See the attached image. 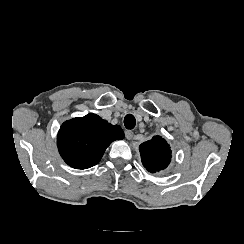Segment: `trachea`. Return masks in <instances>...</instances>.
I'll return each instance as SVG.
<instances>
[{
    "label": "trachea",
    "mask_w": 244,
    "mask_h": 244,
    "mask_svg": "<svg viewBox=\"0 0 244 244\" xmlns=\"http://www.w3.org/2000/svg\"><path fill=\"white\" fill-rule=\"evenodd\" d=\"M135 124H136V120L133 115L127 114L124 117V125L127 129H129V130L133 129L135 127Z\"/></svg>",
    "instance_id": "3493384b"
}]
</instances>
